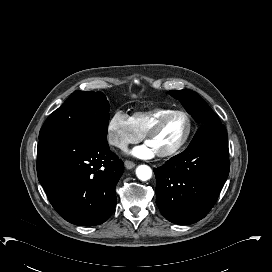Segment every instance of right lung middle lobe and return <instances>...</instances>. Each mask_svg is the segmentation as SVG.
<instances>
[{
	"label": "right lung middle lobe",
	"mask_w": 272,
	"mask_h": 272,
	"mask_svg": "<svg viewBox=\"0 0 272 272\" xmlns=\"http://www.w3.org/2000/svg\"><path fill=\"white\" fill-rule=\"evenodd\" d=\"M109 103L102 92L75 91L43 124L39 139L66 133L83 132L107 136Z\"/></svg>",
	"instance_id": "1"
}]
</instances>
